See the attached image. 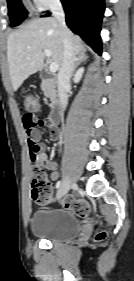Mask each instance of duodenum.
I'll list each match as a JSON object with an SVG mask.
<instances>
[{
	"instance_id": "1",
	"label": "duodenum",
	"mask_w": 134,
	"mask_h": 281,
	"mask_svg": "<svg viewBox=\"0 0 134 281\" xmlns=\"http://www.w3.org/2000/svg\"><path fill=\"white\" fill-rule=\"evenodd\" d=\"M40 76L44 82H49L50 79L48 78L47 72L45 69L40 70ZM61 110L59 107L55 108L49 115V121L52 124H58L61 121Z\"/></svg>"
}]
</instances>
